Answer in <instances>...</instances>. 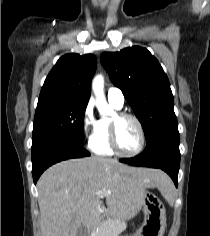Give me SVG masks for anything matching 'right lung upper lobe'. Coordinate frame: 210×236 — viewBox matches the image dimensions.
<instances>
[{"label":"right lung upper lobe","instance_id":"obj_1","mask_svg":"<svg viewBox=\"0 0 210 236\" xmlns=\"http://www.w3.org/2000/svg\"><path fill=\"white\" fill-rule=\"evenodd\" d=\"M96 65V57L92 54L64 55L48 74L38 103L51 100H73L87 104Z\"/></svg>","mask_w":210,"mask_h":236}]
</instances>
